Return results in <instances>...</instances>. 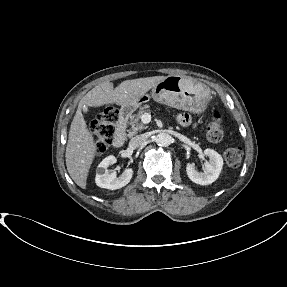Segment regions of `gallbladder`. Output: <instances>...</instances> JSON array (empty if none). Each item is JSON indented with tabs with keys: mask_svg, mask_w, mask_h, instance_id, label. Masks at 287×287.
Masks as SVG:
<instances>
[{
	"mask_svg": "<svg viewBox=\"0 0 287 287\" xmlns=\"http://www.w3.org/2000/svg\"><path fill=\"white\" fill-rule=\"evenodd\" d=\"M88 107L87 106H83V108H82V112L84 113V114H87L88 113Z\"/></svg>",
	"mask_w": 287,
	"mask_h": 287,
	"instance_id": "bac80fb5",
	"label": "gallbladder"
}]
</instances>
